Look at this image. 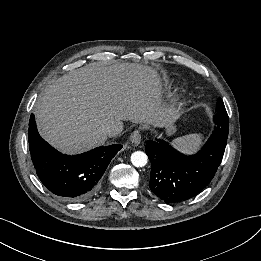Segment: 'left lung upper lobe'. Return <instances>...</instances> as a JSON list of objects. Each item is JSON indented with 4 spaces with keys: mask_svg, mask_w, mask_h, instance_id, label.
<instances>
[{
    "mask_svg": "<svg viewBox=\"0 0 261 261\" xmlns=\"http://www.w3.org/2000/svg\"><path fill=\"white\" fill-rule=\"evenodd\" d=\"M217 114L222 116V119L228 120V115H227L224 103L221 99H218V102H217Z\"/></svg>",
    "mask_w": 261,
    "mask_h": 261,
    "instance_id": "5c2ea615",
    "label": "left lung upper lobe"
}]
</instances>
